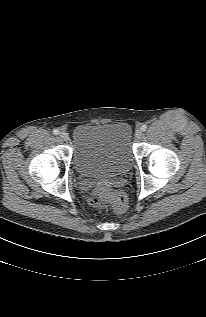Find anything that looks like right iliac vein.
<instances>
[{
	"label": "right iliac vein",
	"mask_w": 206,
	"mask_h": 317,
	"mask_svg": "<svg viewBox=\"0 0 206 317\" xmlns=\"http://www.w3.org/2000/svg\"><path fill=\"white\" fill-rule=\"evenodd\" d=\"M59 137L63 141H67L69 139V135L64 131L60 132Z\"/></svg>",
	"instance_id": "1"
}]
</instances>
